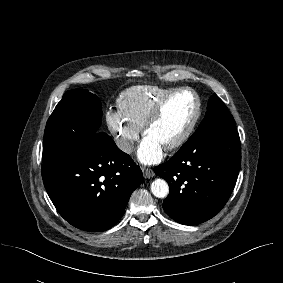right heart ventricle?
Segmentation results:
<instances>
[{
  "label": "right heart ventricle",
  "mask_w": 283,
  "mask_h": 283,
  "mask_svg": "<svg viewBox=\"0 0 283 283\" xmlns=\"http://www.w3.org/2000/svg\"><path fill=\"white\" fill-rule=\"evenodd\" d=\"M173 89L149 85L132 87L119 97V111L129 123L141 129L156 102Z\"/></svg>",
  "instance_id": "e07e8e85"
}]
</instances>
